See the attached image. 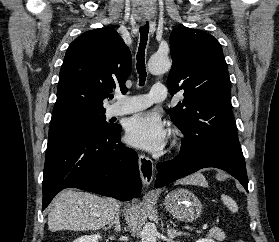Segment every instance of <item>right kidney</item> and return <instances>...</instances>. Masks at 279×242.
<instances>
[{"mask_svg":"<svg viewBox=\"0 0 279 242\" xmlns=\"http://www.w3.org/2000/svg\"><path fill=\"white\" fill-rule=\"evenodd\" d=\"M101 236L99 234H93V235H83L73 242H99V239Z\"/></svg>","mask_w":279,"mask_h":242,"instance_id":"1","label":"right kidney"}]
</instances>
